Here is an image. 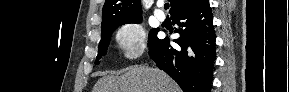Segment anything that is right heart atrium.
Returning <instances> with one entry per match:
<instances>
[{
    "mask_svg": "<svg viewBox=\"0 0 289 92\" xmlns=\"http://www.w3.org/2000/svg\"><path fill=\"white\" fill-rule=\"evenodd\" d=\"M115 39L127 62L138 59L146 49V31L138 22H128L121 25L115 32Z\"/></svg>",
    "mask_w": 289,
    "mask_h": 92,
    "instance_id": "right-heart-atrium-1",
    "label": "right heart atrium"
}]
</instances>
